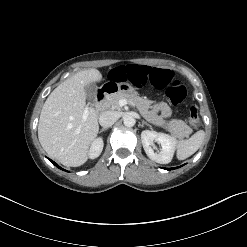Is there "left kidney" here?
Instances as JSON below:
<instances>
[{
    "label": "left kidney",
    "instance_id": "1",
    "mask_svg": "<svg viewBox=\"0 0 247 247\" xmlns=\"http://www.w3.org/2000/svg\"><path fill=\"white\" fill-rule=\"evenodd\" d=\"M141 140L143 148L151 160L160 164L171 162L177 143L174 137L161 132L144 130L141 133ZM154 142L161 145L160 151H154Z\"/></svg>",
    "mask_w": 247,
    "mask_h": 247
}]
</instances>
